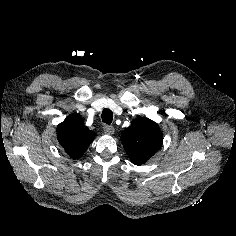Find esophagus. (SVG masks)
<instances>
[{
	"mask_svg": "<svg viewBox=\"0 0 236 236\" xmlns=\"http://www.w3.org/2000/svg\"><path fill=\"white\" fill-rule=\"evenodd\" d=\"M103 130H104V132H105L106 134H109V135L114 134V131H115L114 127H113V126H110V125H105V126L103 127Z\"/></svg>",
	"mask_w": 236,
	"mask_h": 236,
	"instance_id": "obj_1",
	"label": "esophagus"
}]
</instances>
